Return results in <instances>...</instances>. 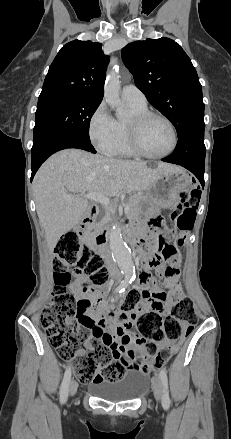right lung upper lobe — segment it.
Masks as SVG:
<instances>
[{"label": "right lung upper lobe", "mask_w": 231, "mask_h": 439, "mask_svg": "<svg viewBox=\"0 0 231 439\" xmlns=\"http://www.w3.org/2000/svg\"><path fill=\"white\" fill-rule=\"evenodd\" d=\"M101 46L81 40L64 45L49 68L38 101L54 97L102 101L108 56Z\"/></svg>", "instance_id": "cb5924a9"}]
</instances>
